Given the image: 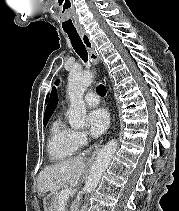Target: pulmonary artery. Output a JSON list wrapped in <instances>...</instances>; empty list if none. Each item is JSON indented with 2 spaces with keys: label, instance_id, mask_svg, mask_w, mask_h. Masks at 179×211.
<instances>
[{
  "label": "pulmonary artery",
  "instance_id": "obj_1",
  "mask_svg": "<svg viewBox=\"0 0 179 211\" xmlns=\"http://www.w3.org/2000/svg\"><path fill=\"white\" fill-rule=\"evenodd\" d=\"M84 102L89 106H97L99 104V97L96 93H87L84 96Z\"/></svg>",
  "mask_w": 179,
  "mask_h": 211
}]
</instances>
